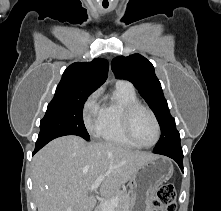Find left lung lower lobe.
I'll return each instance as SVG.
<instances>
[{"mask_svg": "<svg viewBox=\"0 0 221 211\" xmlns=\"http://www.w3.org/2000/svg\"><path fill=\"white\" fill-rule=\"evenodd\" d=\"M153 153L165 155V156L172 158L174 161L177 162V164L183 171V151H182L181 146L175 147V148H168L164 150H158V151L153 150Z\"/></svg>", "mask_w": 221, "mask_h": 211, "instance_id": "obj_1", "label": "left lung lower lobe"}]
</instances>
